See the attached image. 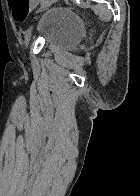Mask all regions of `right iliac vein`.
Masks as SVG:
<instances>
[{"label": "right iliac vein", "mask_w": 140, "mask_h": 196, "mask_svg": "<svg viewBox=\"0 0 140 196\" xmlns=\"http://www.w3.org/2000/svg\"><path fill=\"white\" fill-rule=\"evenodd\" d=\"M46 4H51L50 2L46 3ZM31 37H32V27H30L25 36H24V46L25 48H28L29 46V43H30V40H31Z\"/></svg>", "instance_id": "obj_1"}]
</instances>
